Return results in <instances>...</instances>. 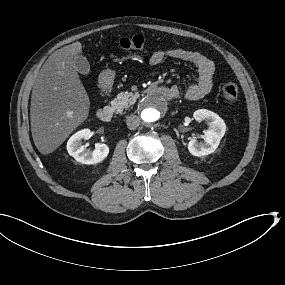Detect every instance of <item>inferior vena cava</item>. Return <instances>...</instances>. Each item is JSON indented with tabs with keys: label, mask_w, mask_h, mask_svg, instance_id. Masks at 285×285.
Here are the masks:
<instances>
[{
	"label": "inferior vena cava",
	"mask_w": 285,
	"mask_h": 285,
	"mask_svg": "<svg viewBox=\"0 0 285 285\" xmlns=\"http://www.w3.org/2000/svg\"><path fill=\"white\" fill-rule=\"evenodd\" d=\"M126 124L130 130H135L140 124V119L136 115L127 116Z\"/></svg>",
	"instance_id": "inferior-vena-cava-1"
}]
</instances>
